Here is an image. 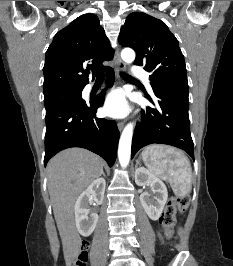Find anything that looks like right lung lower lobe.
<instances>
[{"label": "right lung lower lobe", "mask_w": 233, "mask_h": 266, "mask_svg": "<svg viewBox=\"0 0 233 266\" xmlns=\"http://www.w3.org/2000/svg\"><path fill=\"white\" fill-rule=\"evenodd\" d=\"M107 83L112 86L114 71L107 69ZM104 91L94 101L67 103L46 112L44 165L59 151L70 147L88 149L113 166L120 137L116 122L96 117L97 108L103 105Z\"/></svg>", "instance_id": "obj_1"}]
</instances>
